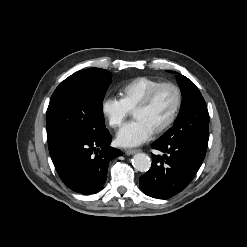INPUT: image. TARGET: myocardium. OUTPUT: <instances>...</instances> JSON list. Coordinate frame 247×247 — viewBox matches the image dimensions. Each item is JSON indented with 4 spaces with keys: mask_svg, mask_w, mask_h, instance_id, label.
<instances>
[{
    "mask_svg": "<svg viewBox=\"0 0 247 247\" xmlns=\"http://www.w3.org/2000/svg\"><path fill=\"white\" fill-rule=\"evenodd\" d=\"M165 87H169L171 88L176 95V103L174 106V109L170 115V117L166 120V122L164 124H162L160 127H158L154 133L155 134H161L163 132H165L166 130H168L173 123L176 121L181 107H182V103H183V94H182V90L181 88L174 82H170V81H166V82H161L159 84H157L156 86H154L146 95L145 97L141 100V102L134 108L133 112H135L136 110H143L148 108L151 103L153 102L155 96L157 95V93Z\"/></svg>",
    "mask_w": 247,
    "mask_h": 247,
    "instance_id": "f54148a6",
    "label": "myocardium"
}]
</instances>
